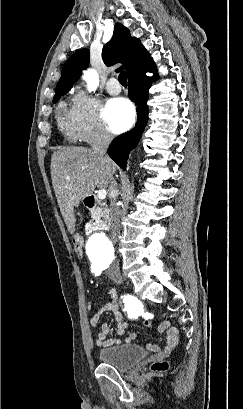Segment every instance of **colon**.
<instances>
[{"label": "colon", "instance_id": "colon-1", "mask_svg": "<svg viewBox=\"0 0 243 409\" xmlns=\"http://www.w3.org/2000/svg\"><path fill=\"white\" fill-rule=\"evenodd\" d=\"M74 251L77 256L83 255V240L80 236L76 235L73 238ZM168 362L165 360L156 361L151 365V369L155 372H163L168 369Z\"/></svg>", "mask_w": 243, "mask_h": 409}]
</instances>
